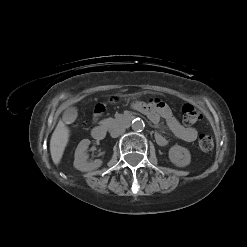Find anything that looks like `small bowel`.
I'll use <instances>...</instances> for the list:
<instances>
[{"label":"small bowel","instance_id":"small-bowel-1","mask_svg":"<svg viewBox=\"0 0 247 247\" xmlns=\"http://www.w3.org/2000/svg\"><path fill=\"white\" fill-rule=\"evenodd\" d=\"M117 104L115 97H110L108 103H98L95 106V111L98 114L111 112L113 106ZM134 108L141 113L145 114L153 124H158L161 119L166 121L168 129L179 139L185 142H193L197 139L198 132L194 127L183 126L180 121L174 116L171 109L162 102H137L134 104ZM155 140L160 146L167 144V139L161 134H155Z\"/></svg>","mask_w":247,"mask_h":247}]
</instances>
